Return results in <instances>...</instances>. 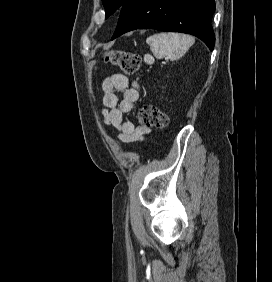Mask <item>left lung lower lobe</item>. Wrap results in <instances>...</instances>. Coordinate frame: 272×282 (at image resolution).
Returning a JSON list of instances; mask_svg holds the SVG:
<instances>
[{
  "label": "left lung lower lobe",
  "instance_id": "obj_1",
  "mask_svg": "<svg viewBox=\"0 0 272 282\" xmlns=\"http://www.w3.org/2000/svg\"><path fill=\"white\" fill-rule=\"evenodd\" d=\"M214 0H126L112 40L135 29H157L195 35L213 50Z\"/></svg>",
  "mask_w": 272,
  "mask_h": 282
}]
</instances>
